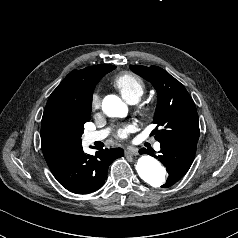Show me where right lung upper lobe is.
Wrapping results in <instances>:
<instances>
[{"label":"right lung upper lobe","instance_id":"1","mask_svg":"<svg viewBox=\"0 0 238 238\" xmlns=\"http://www.w3.org/2000/svg\"><path fill=\"white\" fill-rule=\"evenodd\" d=\"M110 66L73 70L50 95L41 121V148L50 170L82 148L81 139L67 128V123L90 119L92 92Z\"/></svg>","mask_w":238,"mask_h":238}]
</instances>
